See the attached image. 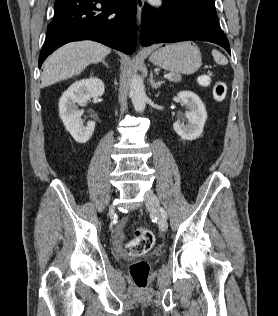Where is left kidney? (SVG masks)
<instances>
[{
	"label": "left kidney",
	"mask_w": 278,
	"mask_h": 316,
	"mask_svg": "<svg viewBox=\"0 0 278 316\" xmlns=\"http://www.w3.org/2000/svg\"><path fill=\"white\" fill-rule=\"evenodd\" d=\"M177 95L182 104L189 109L186 112L189 124L184 125V123L176 121L173 128L182 139L195 140L202 134L207 119L205 106L198 95L191 91H182Z\"/></svg>",
	"instance_id": "left-kidney-1"
}]
</instances>
